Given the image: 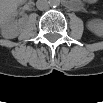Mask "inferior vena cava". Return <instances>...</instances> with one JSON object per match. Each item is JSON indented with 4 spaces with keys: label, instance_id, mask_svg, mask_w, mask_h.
I'll return each instance as SVG.
<instances>
[{
    "label": "inferior vena cava",
    "instance_id": "inferior-vena-cava-1",
    "mask_svg": "<svg viewBox=\"0 0 103 103\" xmlns=\"http://www.w3.org/2000/svg\"><path fill=\"white\" fill-rule=\"evenodd\" d=\"M36 6L39 10H47L49 8V3L46 0H38Z\"/></svg>",
    "mask_w": 103,
    "mask_h": 103
}]
</instances>
